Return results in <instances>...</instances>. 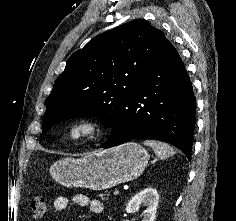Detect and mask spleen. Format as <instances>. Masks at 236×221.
<instances>
[{
    "label": "spleen",
    "instance_id": "obj_1",
    "mask_svg": "<svg viewBox=\"0 0 236 221\" xmlns=\"http://www.w3.org/2000/svg\"><path fill=\"white\" fill-rule=\"evenodd\" d=\"M144 145L150 146L160 159H166L175 154L173 147L158 140H145Z\"/></svg>",
    "mask_w": 236,
    "mask_h": 221
}]
</instances>
